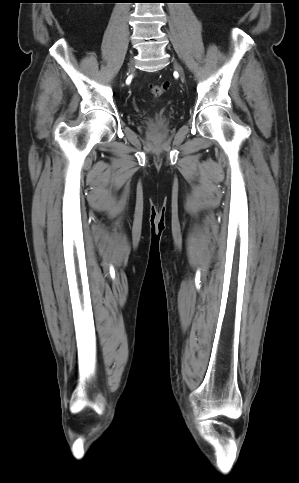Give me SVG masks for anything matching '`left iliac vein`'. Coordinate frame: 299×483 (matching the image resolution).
I'll use <instances>...</instances> for the list:
<instances>
[{"label":"left iliac vein","mask_w":299,"mask_h":483,"mask_svg":"<svg viewBox=\"0 0 299 483\" xmlns=\"http://www.w3.org/2000/svg\"><path fill=\"white\" fill-rule=\"evenodd\" d=\"M173 62H174V67L180 73L181 79L184 80V74H183V70H182L181 66L176 61H173Z\"/></svg>","instance_id":"obj_1"}]
</instances>
